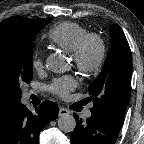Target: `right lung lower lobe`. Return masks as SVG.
Segmentation results:
<instances>
[{
	"label": "right lung lower lobe",
	"mask_w": 144,
	"mask_h": 144,
	"mask_svg": "<svg viewBox=\"0 0 144 144\" xmlns=\"http://www.w3.org/2000/svg\"><path fill=\"white\" fill-rule=\"evenodd\" d=\"M35 111L19 103L0 123V144H38L40 131L57 118L59 110L54 102L45 101Z\"/></svg>",
	"instance_id": "obj_1"
}]
</instances>
